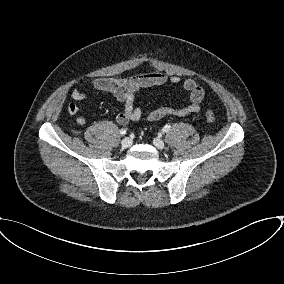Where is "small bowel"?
<instances>
[{
	"mask_svg": "<svg viewBox=\"0 0 284 284\" xmlns=\"http://www.w3.org/2000/svg\"><path fill=\"white\" fill-rule=\"evenodd\" d=\"M167 83H181L183 90L188 92L187 104L182 108L163 106L151 110L146 114L148 121H158L167 115L186 116L200 111L205 90L192 78L182 81L179 76L169 77L162 72H149L123 78H95L90 82V85L95 90L112 94L119 102L123 103V109L116 115V122L126 125L130 121L139 120L144 115L141 108L134 106L135 94L141 89ZM71 98L73 102L68 105L67 110L69 114L75 115L80 110V103L87 101L88 96L84 92L74 89L71 92ZM76 121L79 125H84L86 118L78 116Z\"/></svg>",
	"mask_w": 284,
	"mask_h": 284,
	"instance_id": "small-bowel-1",
	"label": "small bowel"
}]
</instances>
